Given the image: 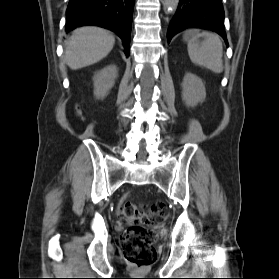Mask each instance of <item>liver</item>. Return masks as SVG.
<instances>
[{
    "label": "liver",
    "instance_id": "6515ba94",
    "mask_svg": "<svg viewBox=\"0 0 279 279\" xmlns=\"http://www.w3.org/2000/svg\"><path fill=\"white\" fill-rule=\"evenodd\" d=\"M115 38L99 27H81L66 42L64 60L77 70L99 62L113 49Z\"/></svg>",
    "mask_w": 279,
    "mask_h": 279
}]
</instances>
